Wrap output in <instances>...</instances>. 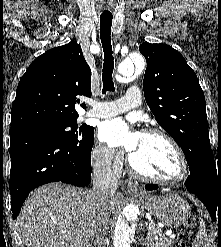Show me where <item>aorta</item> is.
I'll return each mask as SVG.
<instances>
[{
  "mask_svg": "<svg viewBox=\"0 0 221 247\" xmlns=\"http://www.w3.org/2000/svg\"><path fill=\"white\" fill-rule=\"evenodd\" d=\"M144 68V60L139 55H130L123 60L117 71L124 77L133 75L134 70L140 71ZM135 231V224L128 223L124 218L119 217L113 231V246L114 247H131V236Z\"/></svg>",
  "mask_w": 221,
  "mask_h": 247,
  "instance_id": "obj_1",
  "label": "aorta"
}]
</instances>
